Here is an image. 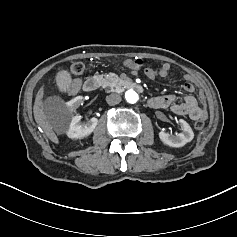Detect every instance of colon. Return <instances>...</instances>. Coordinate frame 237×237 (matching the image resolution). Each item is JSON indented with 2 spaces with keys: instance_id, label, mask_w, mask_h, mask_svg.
<instances>
[{
  "instance_id": "colon-1",
  "label": "colon",
  "mask_w": 237,
  "mask_h": 237,
  "mask_svg": "<svg viewBox=\"0 0 237 237\" xmlns=\"http://www.w3.org/2000/svg\"><path fill=\"white\" fill-rule=\"evenodd\" d=\"M132 63H133V66L138 69L142 68L143 66V63L140 59L133 60ZM70 69L73 75L80 76L85 71V65L82 62H75L71 65ZM144 72L146 76L150 79H155L158 76V71L153 68H146ZM204 127H205V122L203 120H198L195 123V128L197 130H202L204 129Z\"/></svg>"
}]
</instances>
